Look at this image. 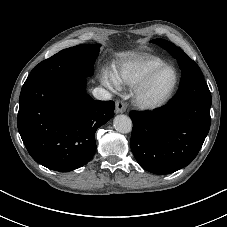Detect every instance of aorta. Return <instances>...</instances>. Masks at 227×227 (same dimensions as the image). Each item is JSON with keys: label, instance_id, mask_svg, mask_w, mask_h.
Returning a JSON list of instances; mask_svg holds the SVG:
<instances>
[{"label": "aorta", "instance_id": "1", "mask_svg": "<svg viewBox=\"0 0 227 227\" xmlns=\"http://www.w3.org/2000/svg\"><path fill=\"white\" fill-rule=\"evenodd\" d=\"M113 126L120 133H129L132 130V121L127 115H117L114 118Z\"/></svg>", "mask_w": 227, "mask_h": 227}]
</instances>
